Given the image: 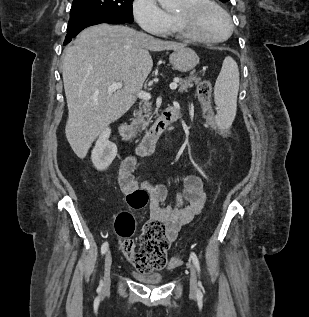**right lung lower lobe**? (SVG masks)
<instances>
[{
    "instance_id": "1",
    "label": "right lung lower lobe",
    "mask_w": 309,
    "mask_h": 317,
    "mask_svg": "<svg viewBox=\"0 0 309 317\" xmlns=\"http://www.w3.org/2000/svg\"><path fill=\"white\" fill-rule=\"evenodd\" d=\"M100 23L122 24L125 22L117 18L103 15H82L72 17L69 20L64 45L69 43L71 41V38L75 37L84 28Z\"/></svg>"
}]
</instances>
